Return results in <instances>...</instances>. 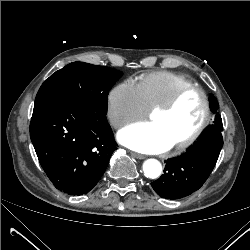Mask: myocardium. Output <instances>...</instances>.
Segmentation results:
<instances>
[{
  "instance_id": "myocardium-1",
  "label": "myocardium",
  "mask_w": 250,
  "mask_h": 250,
  "mask_svg": "<svg viewBox=\"0 0 250 250\" xmlns=\"http://www.w3.org/2000/svg\"><path fill=\"white\" fill-rule=\"evenodd\" d=\"M197 92L203 101V116L200 124L195 129V131L189 135L187 138L183 139L180 142L173 144V148L177 150L185 149L192 145L204 132L206 129L211 115V105L210 100L206 92L197 85H188L177 90L165 103L159 105L151 110L152 114H166L172 111L175 106L179 103V101L188 93Z\"/></svg>"
}]
</instances>
